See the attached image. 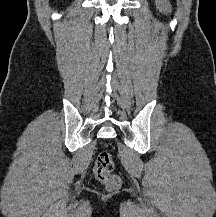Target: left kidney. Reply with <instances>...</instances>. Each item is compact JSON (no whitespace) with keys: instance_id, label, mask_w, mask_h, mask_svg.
I'll use <instances>...</instances> for the list:
<instances>
[{"instance_id":"obj_1","label":"left kidney","mask_w":216,"mask_h":217,"mask_svg":"<svg viewBox=\"0 0 216 217\" xmlns=\"http://www.w3.org/2000/svg\"><path fill=\"white\" fill-rule=\"evenodd\" d=\"M155 3L161 12H170V4L166 0H156Z\"/></svg>"}]
</instances>
